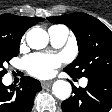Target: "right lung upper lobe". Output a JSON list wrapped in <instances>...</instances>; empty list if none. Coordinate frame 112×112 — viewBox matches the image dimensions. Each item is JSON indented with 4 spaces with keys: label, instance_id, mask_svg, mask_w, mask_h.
I'll return each instance as SVG.
<instances>
[{
    "label": "right lung upper lobe",
    "instance_id": "1",
    "mask_svg": "<svg viewBox=\"0 0 112 112\" xmlns=\"http://www.w3.org/2000/svg\"><path fill=\"white\" fill-rule=\"evenodd\" d=\"M44 21L40 17H20L13 14L0 15V39L21 40L25 31L38 22Z\"/></svg>",
    "mask_w": 112,
    "mask_h": 112
}]
</instances>
